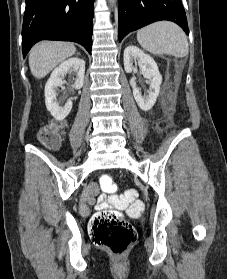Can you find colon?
<instances>
[{
    "label": "colon",
    "mask_w": 227,
    "mask_h": 279,
    "mask_svg": "<svg viewBox=\"0 0 227 279\" xmlns=\"http://www.w3.org/2000/svg\"><path fill=\"white\" fill-rule=\"evenodd\" d=\"M39 140L48 149H56L61 141L59 126L50 125L41 130ZM100 186L106 193L117 186V181L112 177L103 176L100 179ZM125 194L131 198L134 191L129 190ZM111 197L116 198L115 195ZM90 234L95 242L102 243L115 252L123 251L136 239L137 235L133 226L113 209H104L93 214L90 222Z\"/></svg>",
    "instance_id": "colon-1"
}]
</instances>
